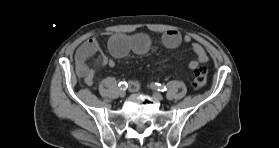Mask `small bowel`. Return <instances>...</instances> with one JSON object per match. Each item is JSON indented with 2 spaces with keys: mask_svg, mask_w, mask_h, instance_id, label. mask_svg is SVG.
<instances>
[{
  "mask_svg": "<svg viewBox=\"0 0 279 148\" xmlns=\"http://www.w3.org/2000/svg\"><path fill=\"white\" fill-rule=\"evenodd\" d=\"M162 42L168 48H176L182 42L191 45L196 58L188 63V67L194 70L199 64L206 63L209 57L198 42L192 41L191 36H182L178 31L169 30L162 35ZM151 48V39L144 33L134 35L115 34L108 40V49L111 55L115 58L124 57L128 52L132 51L136 54H145ZM98 55V62L102 65L114 67L115 60L107 58L101 53L100 44L97 39L89 38L83 42L77 49L75 54V68L77 75L84 81L86 85H92L94 80V69L89 66L88 60L93 56ZM131 91H137L140 88V80L129 81Z\"/></svg>",
  "mask_w": 279,
  "mask_h": 148,
  "instance_id": "obj_1",
  "label": "small bowel"
}]
</instances>
